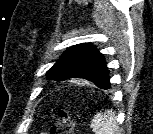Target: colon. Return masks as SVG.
<instances>
[{"label": "colon", "instance_id": "obj_1", "mask_svg": "<svg viewBox=\"0 0 153 134\" xmlns=\"http://www.w3.org/2000/svg\"><path fill=\"white\" fill-rule=\"evenodd\" d=\"M44 134H73V125L68 113L64 110H60L56 123Z\"/></svg>", "mask_w": 153, "mask_h": 134}]
</instances>
